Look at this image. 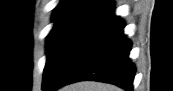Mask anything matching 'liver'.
Segmentation results:
<instances>
[{"instance_id": "1", "label": "liver", "mask_w": 173, "mask_h": 91, "mask_svg": "<svg viewBox=\"0 0 173 91\" xmlns=\"http://www.w3.org/2000/svg\"><path fill=\"white\" fill-rule=\"evenodd\" d=\"M60 91H122L120 88L99 82H78L67 85L60 89Z\"/></svg>"}]
</instances>
